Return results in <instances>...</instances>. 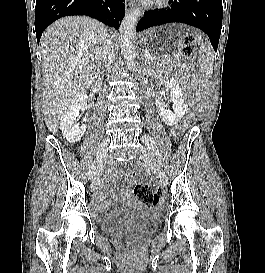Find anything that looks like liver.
<instances>
[{
	"instance_id": "obj_1",
	"label": "liver",
	"mask_w": 265,
	"mask_h": 273,
	"mask_svg": "<svg viewBox=\"0 0 265 273\" xmlns=\"http://www.w3.org/2000/svg\"><path fill=\"white\" fill-rule=\"evenodd\" d=\"M107 35L105 25L85 16L59 19L43 33V113L53 134L63 111L99 74Z\"/></svg>"
}]
</instances>
